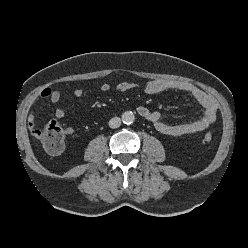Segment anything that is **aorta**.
I'll return each instance as SVG.
<instances>
[{
  "label": "aorta",
  "mask_w": 248,
  "mask_h": 248,
  "mask_svg": "<svg viewBox=\"0 0 248 248\" xmlns=\"http://www.w3.org/2000/svg\"><path fill=\"white\" fill-rule=\"evenodd\" d=\"M134 120H135V116L133 112L126 111L122 114V121L124 124H132Z\"/></svg>",
  "instance_id": "aorta-1"
}]
</instances>
